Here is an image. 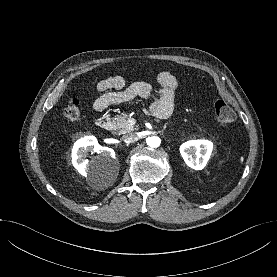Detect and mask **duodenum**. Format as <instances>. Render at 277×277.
<instances>
[{
    "instance_id": "1",
    "label": "duodenum",
    "mask_w": 277,
    "mask_h": 277,
    "mask_svg": "<svg viewBox=\"0 0 277 277\" xmlns=\"http://www.w3.org/2000/svg\"><path fill=\"white\" fill-rule=\"evenodd\" d=\"M97 126L103 130H108L111 127V123L104 118H100L96 122Z\"/></svg>"
}]
</instances>
